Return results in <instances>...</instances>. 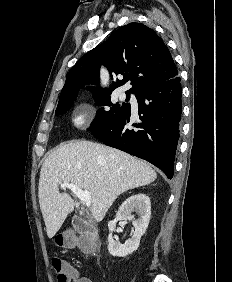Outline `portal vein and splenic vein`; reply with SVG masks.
Here are the masks:
<instances>
[{
    "instance_id": "portal-vein-and-splenic-vein-1",
    "label": "portal vein and splenic vein",
    "mask_w": 232,
    "mask_h": 282,
    "mask_svg": "<svg viewBox=\"0 0 232 282\" xmlns=\"http://www.w3.org/2000/svg\"><path fill=\"white\" fill-rule=\"evenodd\" d=\"M61 187L70 189L87 207L91 205V194L88 190H82L77 185L69 182H63Z\"/></svg>"
}]
</instances>
